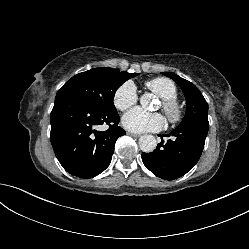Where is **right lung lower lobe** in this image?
I'll use <instances>...</instances> for the list:
<instances>
[{
  "mask_svg": "<svg viewBox=\"0 0 249 249\" xmlns=\"http://www.w3.org/2000/svg\"><path fill=\"white\" fill-rule=\"evenodd\" d=\"M51 144L63 168L80 178H92L110 164L118 137L126 132L118 126L117 111L91 108L70 95L55 98L50 115ZM109 129L97 131L98 125Z\"/></svg>",
  "mask_w": 249,
  "mask_h": 249,
  "instance_id": "obj_1",
  "label": "right lung lower lobe"
}]
</instances>
